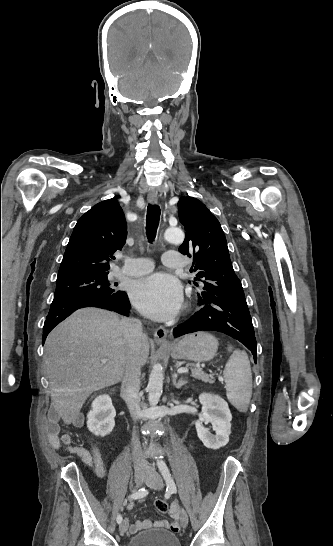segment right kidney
Returning a JSON list of instances; mask_svg holds the SVG:
<instances>
[{"label":"right kidney","instance_id":"1","mask_svg":"<svg viewBox=\"0 0 333 546\" xmlns=\"http://www.w3.org/2000/svg\"><path fill=\"white\" fill-rule=\"evenodd\" d=\"M116 411L109 395L103 394L92 402L87 414V427L96 436L108 435L115 426Z\"/></svg>","mask_w":333,"mask_h":546}]
</instances>
